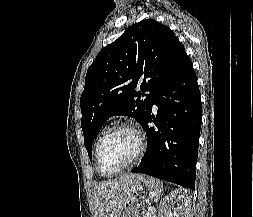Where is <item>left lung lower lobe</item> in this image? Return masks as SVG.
I'll return each instance as SVG.
<instances>
[{
    "label": "left lung lower lobe",
    "instance_id": "left-lung-lower-lobe-1",
    "mask_svg": "<svg viewBox=\"0 0 253 217\" xmlns=\"http://www.w3.org/2000/svg\"><path fill=\"white\" fill-rule=\"evenodd\" d=\"M154 104L158 106L156 117L151 114ZM151 122L155 126H149ZM201 123L200 91L192 61L185 53L152 97L141 123L148 138L147 150L132 172L194 189Z\"/></svg>",
    "mask_w": 253,
    "mask_h": 217
}]
</instances>
